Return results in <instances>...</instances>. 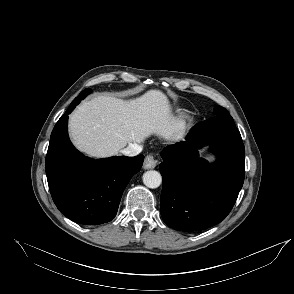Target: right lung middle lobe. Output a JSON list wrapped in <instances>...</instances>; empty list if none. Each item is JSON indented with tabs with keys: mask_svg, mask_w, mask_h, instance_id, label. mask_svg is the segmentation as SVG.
Instances as JSON below:
<instances>
[{
	"mask_svg": "<svg viewBox=\"0 0 294 294\" xmlns=\"http://www.w3.org/2000/svg\"><path fill=\"white\" fill-rule=\"evenodd\" d=\"M79 96H80V94H79ZM76 97L73 101H72V103L70 104V106L73 104V103H75L76 101H78L79 99H83V98H80V97Z\"/></svg>",
	"mask_w": 294,
	"mask_h": 294,
	"instance_id": "right-lung-middle-lobe-1",
	"label": "right lung middle lobe"
}]
</instances>
